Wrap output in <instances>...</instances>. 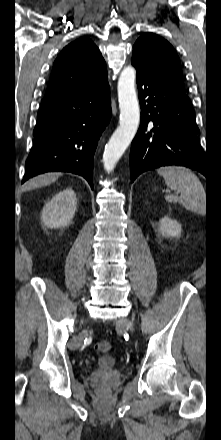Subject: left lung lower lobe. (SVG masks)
<instances>
[{"mask_svg": "<svg viewBox=\"0 0 221 440\" xmlns=\"http://www.w3.org/2000/svg\"><path fill=\"white\" fill-rule=\"evenodd\" d=\"M132 64L137 71L141 122L131 144V181L166 165L186 166L207 176L195 112L185 91L150 74L136 61Z\"/></svg>", "mask_w": 221, "mask_h": 440, "instance_id": "obj_1", "label": "left lung lower lobe"}]
</instances>
